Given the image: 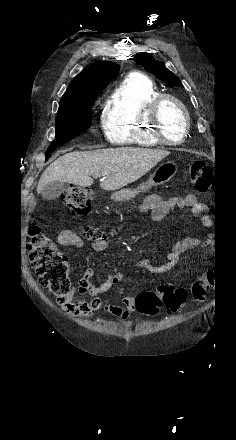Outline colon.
Instances as JSON below:
<instances>
[{
    "mask_svg": "<svg viewBox=\"0 0 236 440\" xmlns=\"http://www.w3.org/2000/svg\"><path fill=\"white\" fill-rule=\"evenodd\" d=\"M191 178L200 192H206L212 187L213 171L201 160L190 162ZM92 191L88 187L69 186L63 193V201L77 216L88 214L91 208ZM87 239L97 240L106 238L99 228L87 226L82 230ZM29 260L38 275L42 286L48 288L56 297L59 304H64L72 295L69 279L70 264L66 255L60 251L53 241L36 225L29 229ZM222 276H200L199 281L191 287V296L197 302H203L208 291L207 285H222ZM188 291L183 287L161 285L157 292L143 291L136 298V308L142 314L155 316L160 308L169 312L181 310L187 301Z\"/></svg>",
    "mask_w": 236,
    "mask_h": 440,
    "instance_id": "obj_1",
    "label": "colon"
}]
</instances>
